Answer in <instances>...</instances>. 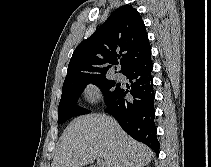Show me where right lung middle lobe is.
<instances>
[{
  "mask_svg": "<svg viewBox=\"0 0 211 167\" xmlns=\"http://www.w3.org/2000/svg\"><path fill=\"white\" fill-rule=\"evenodd\" d=\"M90 83L97 85L101 89L106 105H108L121 90L115 81L108 80L105 76L86 78L72 84L63 85L62 96L58 108L59 124L64 123L73 116L83 115L90 112L89 110L76 106L79 96L86 85Z\"/></svg>",
  "mask_w": 211,
  "mask_h": 167,
  "instance_id": "1",
  "label": "right lung middle lobe"
}]
</instances>
